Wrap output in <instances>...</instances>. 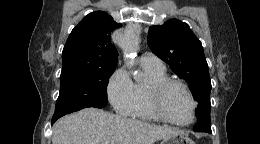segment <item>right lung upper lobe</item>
<instances>
[{
    "instance_id": "cb5924a9",
    "label": "right lung upper lobe",
    "mask_w": 260,
    "mask_h": 144,
    "mask_svg": "<svg viewBox=\"0 0 260 144\" xmlns=\"http://www.w3.org/2000/svg\"><path fill=\"white\" fill-rule=\"evenodd\" d=\"M120 26L103 11L85 16L64 46L62 71L116 68L118 51L110 42V32Z\"/></svg>"
}]
</instances>
